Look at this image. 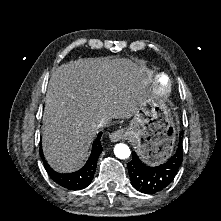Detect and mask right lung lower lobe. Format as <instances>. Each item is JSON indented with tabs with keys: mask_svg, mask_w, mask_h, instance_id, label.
<instances>
[{
	"mask_svg": "<svg viewBox=\"0 0 221 221\" xmlns=\"http://www.w3.org/2000/svg\"><path fill=\"white\" fill-rule=\"evenodd\" d=\"M102 133L100 132L93 142L91 155L87 163L79 170L69 174H60L55 172L45 161L42 149L40 147V155L44 160L45 168L49 176L60 186L71 189V190H80L87 187L93 176L96 172L97 161L99 155L101 154L103 148L100 143V137Z\"/></svg>",
	"mask_w": 221,
	"mask_h": 221,
	"instance_id": "98d812e1",
	"label": "right lung lower lobe"
}]
</instances>
